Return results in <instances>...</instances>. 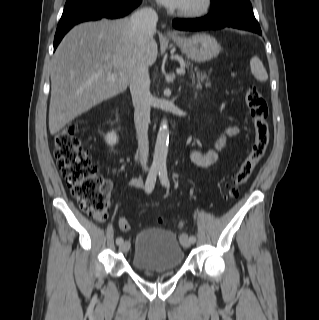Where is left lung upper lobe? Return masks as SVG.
I'll return each mask as SVG.
<instances>
[{"instance_id":"obj_1","label":"left lung upper lobe","mask_w":319,"mask_h":320,"mask_svg":"<svg viewBox=\"0 0 319 320\" xmlns=\"http://www.w3.org/2000/svg\"><path fill=\"white\" fill-rule=\"evenodd\" d=\"M211 1H212V4H218V3H220V2H222L224 0H211Z\"/></svg>"}]
</instances>
